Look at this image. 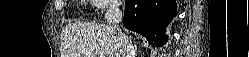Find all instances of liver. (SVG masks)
Listing matches in <instances>:
<instances>
[{"mask_svg":"<svg viewBox=\"0 0 249 57\" xmlns=\"http://www.w3.org/2000/svg\"><path fill=\"white\" fill-rule=\"evenodd\" d=\"M61 40L62 57H122L117 35L105 24L78 22L66 25Z\"/></svg>","mask_w":249,"mask_h":57,"instance_id":"liver-1","label":"liver"}]
</instances>
